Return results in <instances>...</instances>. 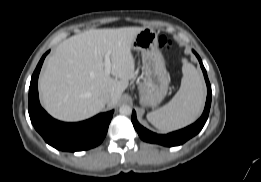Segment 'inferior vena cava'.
I'll return each mask as SVG.
<instances>
[{"mask_svg":"<svg viewBox=\"0 0 261 182\" xmlns=\"http://www.w3.org/2000/svg\"><path fill=\"white\" fill-rule=\"evenodd\" d=\"M104 101H105L106 103H108V102L110 101V96H109V95H106V96L104 97Z\"/></svg>","mask_w":261,"mask_h":182,"instance_id":"602c4592","label":"inferior vena cava"}]
</instances>
